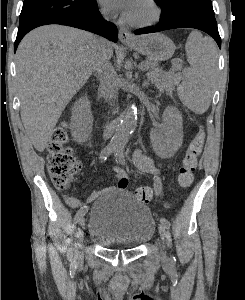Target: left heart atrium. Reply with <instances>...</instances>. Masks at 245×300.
Masks as SVG:
<instances>
[{"label":"left heart atrium","instance_id":"left-heart-atrium-1","mask_svg":"<svg viewBox=\"0 0 245 300\" xmlns=\"http://www.w3.org/2000/svg\"><path fill=\"white\" fill-rule=\"evenodd\" d=\"M102 5L110 10L121 12L122 16L129 19L132 8L138 0H100Z\"/></svg>","mask_w":245,"mask_h":300}]
</instances>
